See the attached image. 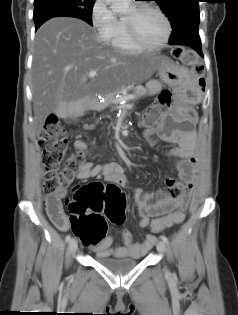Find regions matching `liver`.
Here are the masks:
<instances>
[{"label":"liver","instance_id":"1","mask_svg":"<svg viewBox=\"0 0 238 315\" xmlns=\"http://www.w3.org/2000/svg\"><path fill=\"white\" fill-rule=\"evenodd\" d=\"M162 63L160 55L130 56L102 45L96 31L80 19H50L38 29L34 41L35 135L41 134L51 113L66 118L96 95L147 81ZM91 71L97 76L90 78Z\"/></svg>","mask_w":238,"mask_h":315}]
</instances>
